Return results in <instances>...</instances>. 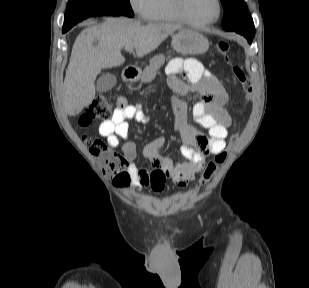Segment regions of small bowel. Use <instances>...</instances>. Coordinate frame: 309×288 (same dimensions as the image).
<instances>
[{
	"label": "small bowel",
	"mask_w": 309,
	"mask_h": 288,
	"mask_svg": "<svg viewBox=\"0 0 309 288\" xmlns=\"http://www.w3.org/2000/svg\"><path fill=\"white\" fill-rule=\"evenodd\" d=\"M182 71L188 78L187 82L177 77ZM167 72L170 86L178 93L173 104L174 124L180 135V152L186 159L185 162L174 163L170 158L162 157L159 149L164 144V138L158 137L143 148V154L152 162L154 170L148 173L136 166V147L133 142L128 141V120L146 123L150 117L139 105L128 104L124 97L117 99V108L112 117L99 125V135L106 139L109 147L117 148L120 139L125 140L122 151L135 191L150 188L155 193H161L168 177L184 187L203 171L208 154H217L226 146L225 138L231 126V118L224 107L227 95L222 85L199 61L192 58L171 60ZM189 95L197 96L192 114L195 122L208 130L209 137H205L187 122L186 97Z\"/></svg>",
	"instance_id": "small-bowel-1"
}]
</instances>
